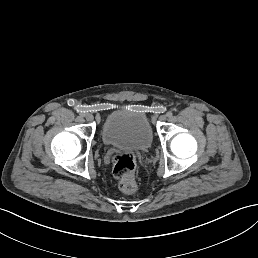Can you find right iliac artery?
I'll return each instance as SVG.
<instances>
[{
  "instance_id": "82829eb1",
  "label": "right iliac artery",
  "mask_w": 258,
  "mask_h": 258,
  "mask_svg": "<svg viewBox=\"0 0 258 258\" xmlns=\"http://www.w3.org/2000/svg\"><path fill=\"white\" fill-rule=\"evenodd\" d=\"M80 116H81V117H84V116H85V114H84V113H80Z\"/></svg>"
}]
</instances>
